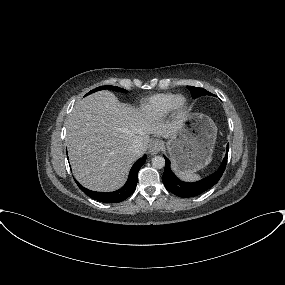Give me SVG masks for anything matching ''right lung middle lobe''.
Segmentation results:
<instances>
[{
    "label": "right lung middle lobe",
    "instance_id": "obj_1",
    "mask_svg": "<svg viewBox=\"0 0 285 285\" xmlns=\"http://www.w3.org/2000/svg\"><path fill=\"white\" fill-rule=\"evenodd\" d=\"M104 89H112V90H116V91H121V92H127L126 90L122 89V88H119V87H116V86H101V87H98L92 91H90L88 94H91L95 91H98V90H104ZM86 94V95H88Z\"/></svg>",
    "mask_w": 285,
    "mask_h": 285
}]
</instances>
